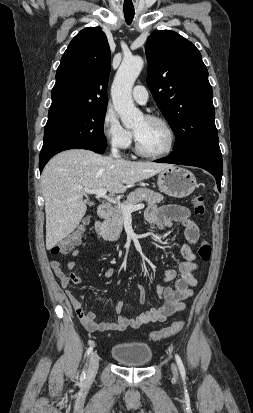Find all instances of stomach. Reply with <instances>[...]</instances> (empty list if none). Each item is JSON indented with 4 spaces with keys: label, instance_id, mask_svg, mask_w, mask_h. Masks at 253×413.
I'll use <instances>...</instances> for the list:
<instances>
[{
    "label": "stomach",
    "instance_id": "stomach-1",
    "mask_svg": "<svg viewBox=\"0 0 253 413\" xmlns=\"http://www.w3.org/2000/svg\"><path fill=\"white\" fill-rule=\"evenodd\" d=\"M157 185L168 196L185 198L195 190L197 182L190 171L171 165L158 173Z\"/></svg>",
    "mask_w": 253,
    "mask_h": 413
}]
</instances>
